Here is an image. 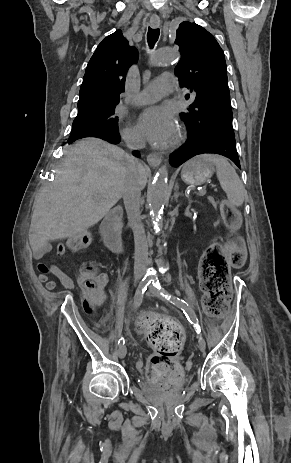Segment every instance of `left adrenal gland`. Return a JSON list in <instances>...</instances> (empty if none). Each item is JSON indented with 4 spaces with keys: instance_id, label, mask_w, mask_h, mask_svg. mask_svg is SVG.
<instances>
[{
    "instance_id": "left-adrenal-gland-1",
    "label": "left adrenal gland",
    "mask_w": 291,
    "mask_h": 463,
    "mask_svg": "<svg viewBox=\"0 0 291 463\" xmlns=\"http://www.w3.org/2000/svg\"><path fill=\"white\" fill-rule=\"evenodd\" d=\"M181 194L178 192V186H176V189H175V193H174V199L175 201H177L178 197L180 196Z\"/></svg>"
}]
</instances>
